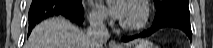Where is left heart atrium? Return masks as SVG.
I'll return each instance as SVG.
<instances>
[{
    "label": "left heart atrium",
    "mask_w": 213,
    "mask_h": 48,
    "mask_svg": "<svg viewBox=\"0 0 213 48\" xmlns=\"http://www.w3.org/2000/svg\"><path fill=\"white\" fill-rule=\"evenodd\" d=\"M106 11L112 17L123 20L127 11V3L125 0H114L107 2Z\"/></svg>",
    "instance_id": "39dd6f15"
}]
</instances>
